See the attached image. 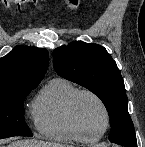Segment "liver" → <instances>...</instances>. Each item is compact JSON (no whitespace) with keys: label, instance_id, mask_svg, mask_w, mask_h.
I'll return each instance as SVG.
<instances>
[{"label":"liver","instance_id":"liver-1","mask_svg":"<svg viewBox=\"0 0 145 147\" xmlns=\"http://www.w3.org/2000/svg\"><path fill=\"white\" fill-rule=\"evenodd\" d=\"M7 147H71V146L38 141V140H18L10 143Z\"/></svg>","mask_w":145,"mask_h":147}]
</instances>
